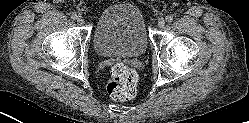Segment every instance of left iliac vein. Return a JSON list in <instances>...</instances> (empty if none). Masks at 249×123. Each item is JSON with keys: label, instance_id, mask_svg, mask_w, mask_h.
Listing matches in <instances>:
<instances>
[{"label": "left iliac vein", "instance_id": "4c4485c4", "mask_svg": "<svg viewBox=\"0 0 249 123\" xmlns=\"http://www.w3.org/2000/svg\"><path fill=\"white\" fill-rule=\"evenodd\" d=\"M166 24V21L164 18L159 19L158 21V27L163 28Z\"/></svg>", "mask_w": 249, "mask_h": 123}]
</instances>
